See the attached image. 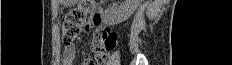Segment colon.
<instances>
[{"instance_id": "1", "label": "colon", "mask_w": 232, "mask_h": 65, "mask_svg": "<svg viewBox=\"0 0 232 65\" xmlns=\"http://www.w3.org/2000/svg\"><path fill=\"white\" fill-rule=\"evenodd\" d=\"M99 1L80 0L77 5L70 10L63 24V42L66 45L75 41L87 21L88 16L96 9ZM117 45V35L110 33L105 38L95 37L93 50L95 57L91 62H105L107 53Z\"/></svg>"}]
</instances>
